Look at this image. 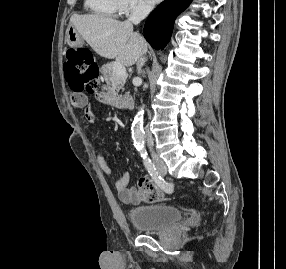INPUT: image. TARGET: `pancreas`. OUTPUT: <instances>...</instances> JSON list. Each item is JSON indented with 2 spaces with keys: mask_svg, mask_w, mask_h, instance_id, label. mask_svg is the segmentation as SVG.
<instances>
[{
  "mask_svg": "<svg viewBox=\"0 0 286 269\" xmlns=\"http://www.w3.org/2000/svg\"><path fill=\"white\" fill-rule=\"evenodd\" d=\"M114 63H107L102 66L101 73L106 84L103 86V95L109 103H114L120 99L119 91L124 89L126 75H117L113 69Z\"/></svg>",
  "mask_w": 286,
  "mask_h": 269,
  "instance_id": "pancreas-1",
  "label": "pancreas"
}]
</instances>
